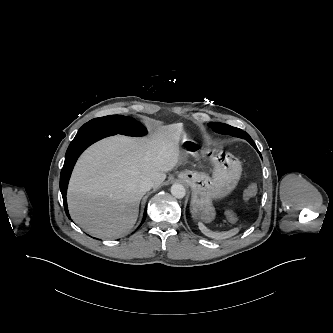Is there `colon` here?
Listing matches in <instances>:
<instances>
[{
    "instance_id": "obj_1",
    "label": "colon",
    "mask_w": 333,
    "mask_h": 333,
    "mask_svg": "<svg viewBox=\"0 0 333 333\" xmlns=\"http://www.w3.org/2000/svg\"><path fill=\"white\" fill-rule=\"evenodd\" d=\"M258 191V187L255 183L250 184L243 193L244 200L253 198ZM227 219L229 222L234 223L237 221V214L234 211L227 212Z\"/></svg>"
}]
</instances>
